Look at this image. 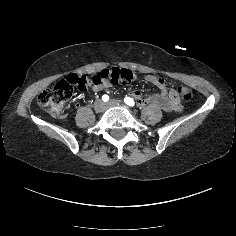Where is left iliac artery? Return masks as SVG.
<instances>
[{"label":"left iliac artery","mask_w":236,"mask_h":236,"mask_svg":"<svg viewBox=\"0 0 236 236\" xmlns=\"http://www.w3.org/2000/svg\"><path fill=\"white\" fill-rule=\"evenodd\" d=\"M124 102H125L127 105H129V106H134V105H135L134 100H133L132 98H130V97H125V98H124Z\"/></svg>","instance_id":"left-iliac-artery-1"}]
</instances>
